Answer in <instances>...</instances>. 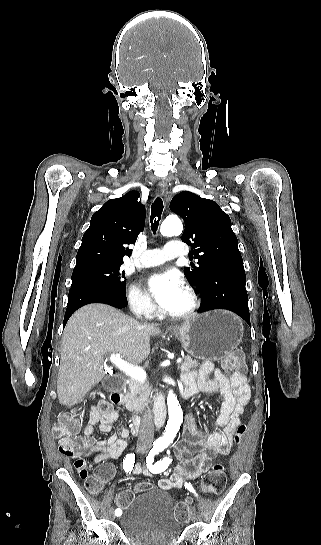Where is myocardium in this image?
Returning a JSON list of instances; mask_svg holds the SVG:
<instances>
[{
	"instance_id": "f54148a6",
	"label": "myocardium",
	"mask_w": 321,
	"mask_h": 545,
	"mask_svg": "<svg viewBox=\"0 0 321 545\" xmlns=\"http://www.w3.org/2000/svg\"><path fill=\"white\" fill-rule=\"evenodd\" d=\"M183 289L188 293L191 298V307L185 312L167 313L169 317L184 320L193 317L199 311L201 307V299L197 291L189 284H185L183 286Z\"/></svg>"
}]
</instances>
